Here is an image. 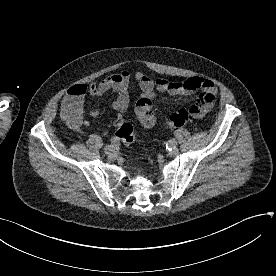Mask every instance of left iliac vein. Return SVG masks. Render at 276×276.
<instances>
[{
	"mask_svg": "<svg viewBox=\"0 0 276 276\" xmlns=\"http://www.w3.org/2000/svg\"><path fill=\"white\" fill-rule=\"evenodd\" d=\"M179 150L178 148L175 146V147H172L170 150H169V155L170 156H176L178 154Z\"/></svg>",
	"mask_w": 276,
	"mask_h": 276,
	"instance_id": "1",
	"label": "left iliac vein"
}]
</instances>
